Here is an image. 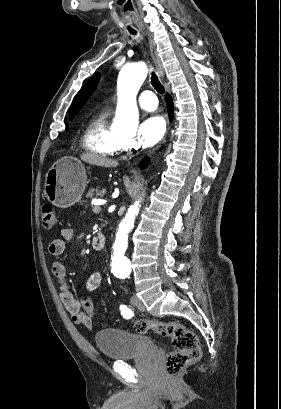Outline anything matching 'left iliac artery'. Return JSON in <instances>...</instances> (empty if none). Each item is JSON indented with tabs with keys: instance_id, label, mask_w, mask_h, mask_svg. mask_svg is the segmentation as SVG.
<instances>
[{
	"instance_id": "1",
	"label": "left iliac artery",
	"mask_w": 281,
	"mask_h": 409,
	"mask_svg": "<svg viewBox=\"0 0 281 409\" xmlns=\"http://www.w3.org/2000/svg\"><path fill=\"white\" fill-rule=\"evenodd\" d=\"M121 314L124 318L129 319L133 316V312L126 305L120 306Z\"/></svg>"
}]
</instances>
